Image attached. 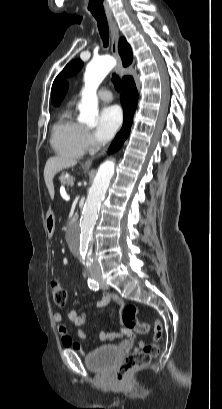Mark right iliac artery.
<instances>
[{
	"label": "right iliac artery",
	"mask_w": 222,
	"mask_h": 409,
	"mask_svg": "<svg viewBox=\"0 0 222 409\" xmlns=\"http://www.w3.org/2000/svg\"><path fill=\"white\" fill-rule=\"evenodd\" d=\"M88 286L90 289L97 291L99 290V283L93 279H88Z\"/></svg>",
	"instance_id": "82829eb1"
}]
</instances>
